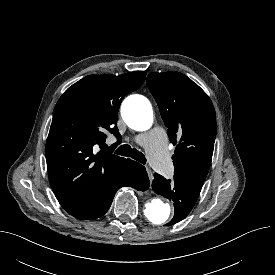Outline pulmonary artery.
Returning <instances> with one entry per match:
<instances>
[{"instance_id": "pulmonary-artery-1", "label": "pulmonary artery", "mask_w": 275, "mask_h": 275, "mask_svg": "<svg viewBox=\"0 0 275 275\" xmlns=\"http://www.w3.org/2000/svg\"><path fill=\"white\" fill-rule=\"evenodd\" d=\"M134 141L146 149L150 164L155 170L165 176L172 173L173 166L166 149V134L162 129L137 135Z\"/></svg>"}]
</instances>
